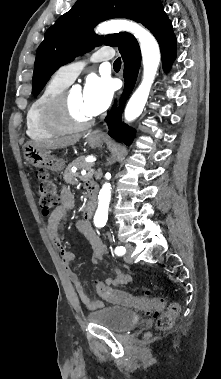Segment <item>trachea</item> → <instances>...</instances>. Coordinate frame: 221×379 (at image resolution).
I'll return each instance as SVG.
<instances>
[{"label": "trachea", "mask_w": 221, "mask_h": 379, "mask_svg": "<svg viewBox=\"0 0 221 379\" xmlns=\"http://www.w3.org/2000/svg\"><path fill=\"white\" fill-rule=\"evenodd\" d=\"M114 67H116V68H119V67H121V59L120 58H117L116 60H115V62H114Z\"/></svg>", "instance_id": "obj_1"}]
</instances>
